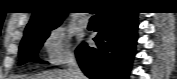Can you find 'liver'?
Listing matches in <instances>:
<instances>
[{
	"mask_svg": "<svg viewBox=\"0 0 177 79\" xmlns=\"http://www.w3.org/2000/svg\"><path fill=\"white\" fill-rule=\"evenodd\" d=\"M21 79H70V76L67 70L57 69L36 75L25 76Z\"/></svg>",
	"mask_w": 177,
	"mask_h": 79,
	"instance_id": "1",
	"label": "liver"
}]
</instances>
